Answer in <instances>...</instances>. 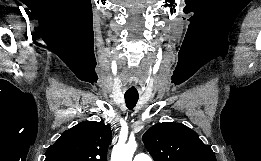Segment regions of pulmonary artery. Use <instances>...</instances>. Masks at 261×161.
Wrapping results in <instances>:
<instances>
[{
	"mask_svg": "<svg viewBox=\"0 0 261 161\" xmlns=\"http://www.w3.org/2000/svg\"><path fill=\"white\" fill-rule=\"evenodd\" d=\"M133 161H153L152 158L145 153H137Z\"/></svg>",
	"mask_w": 261,
	"mask_h": 161,
	"instance_id": "1",
	"label": "pulmonary artery"
}]
</instances>
